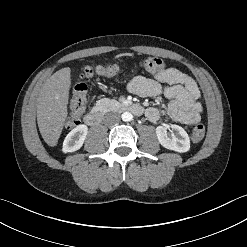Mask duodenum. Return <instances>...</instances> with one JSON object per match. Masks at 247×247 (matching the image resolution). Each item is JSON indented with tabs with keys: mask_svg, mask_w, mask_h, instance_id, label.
<instances>
[{
	"mask_svg": "<svg viewBox=\"0 0 247 247\" xmlns=\"http://www.w3.org/2000/svg\"><path fill=\"white\" fill-rule=\"evenodd\" d=\"M121 108L123 110L130 111L136 115H142L144 112L143 107L139 104H133V103L124 104L121 106ZM101 120H102V114L98 110H93L89 112L84 118L85 123L89 126H96L100 124Z\"/></svg>",
	"mask_w": 247,
	"mask_h": 247,
	"instance_id": "duodenum-1",
	"label": "duodenum"
}]
</instances>
